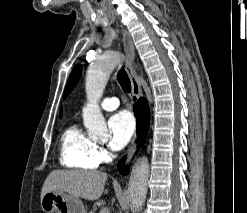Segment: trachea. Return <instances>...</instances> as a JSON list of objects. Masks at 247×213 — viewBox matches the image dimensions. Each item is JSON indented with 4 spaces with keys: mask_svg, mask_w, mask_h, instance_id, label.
<instances>
[{
    "mask_svg": "<svg viewBox=\"0 0 247 213\" xmlns=\"http://www.w3.org/2000/svg\"><path fill=\"white\" fill-rule=\"evenodd\" d=\"M117 80L124 92H131V82L123 68H121L120 71L117 73Z\"/></svg>",
    "mask_w": 247,
    "mask_h": 213,
    "instance_id": "trachea-1",
    "label": "trachea"
}]
</instances>
